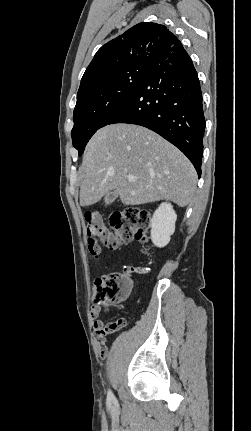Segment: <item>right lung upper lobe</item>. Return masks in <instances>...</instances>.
I'll return each instance as SVG.
<instances>
[{"instance_id":"1","label":"right lung upper lobe","mask_w":251,"mask_h":431,"mask_svg":"<svg viewBox=\"0 0 251 431\" xmlns=\"http://www.w3.org/2000/svg\"><path fill=\"white\" fill-rule=\"evenodd\" d=\"M182 48L181 42L166 26L139 23L97 51L81 79L78 92L127 67L148 65L152 57Z\"/></svg>"}]
</instances>
